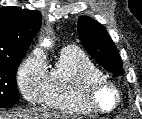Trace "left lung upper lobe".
Returning a JSON list of instances; mask_svg holds the SVG:
<instances>
[{
  "instance_id": "5c2ea615",
  "label": "left lung upper lobe",
  "mask_w": 142,
  "mask_h": 119,
  "mask_svg": "<svg viewBox=\"0 0 142 119\" xmlns=\"http://www.w3.org/2000/svg\"><path fill=\"white\" fill-rule=\"evenodd\" d=\"M80 40L87 52L114 76H122V60L106 29L97 21L81 17L78 21Z\"/></svg>"
}]
</instances>
